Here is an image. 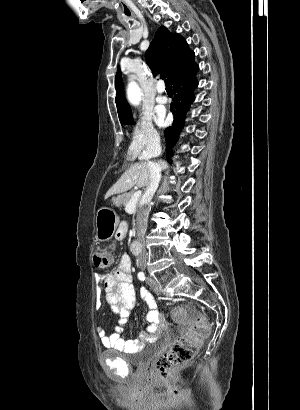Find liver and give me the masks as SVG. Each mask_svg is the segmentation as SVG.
I'll return each mask as SVG.
<instances>
[{"label":"liver","mask_w":300,"mask_h":410,"mask_svg":"<svg viewBox=\"0 0 300 410\" xmlns=\"http://www.w3.org/2000/svg\"><path fill=\"white\" fill-rule=\"evenodd\" d=\"M163 169L168 167L165 161H160ZM150 182V171L147 162L135 163L123 173L120 179L108 190L105 198L130 190L135 185L147 187Z\"/></svg>","instance_id":"1"}]
</instances>
